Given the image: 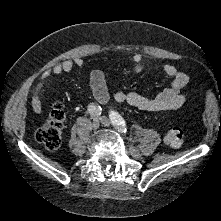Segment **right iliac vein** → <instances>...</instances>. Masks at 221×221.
Segmentation results:
<instances>
[{
	"instance_id": "obj_1",
	"label": "right iliac vein",
	"mask_w": 221,
	"mask_h": 221,
	"mask_svg": "<svg viewBox=\"0 0 221 221\" xmlns=\"http://www.w3.org/2000/svg\"><path fill=\"white\" fill-rule=\"evenodd\" d=\"M99 126H100V121H99V119L95 118L93 120L92 127H93L94 130H96V129L99 128Z\"/></svg>"
}]
</instances>
